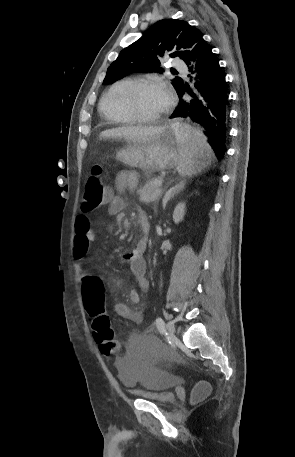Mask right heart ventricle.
<instances>
[{
  "label": "right heart ventricle",
  "mask_w": 295,
  "mask_h": 457,
  "mask_svg": "<svg viewBox=\"0 0 295 457\" xmlns=\"http://www.w3.org/2000/svg\"><path fill=\"white\" fill-rule=\"evenodd\" d=\"M135 80L125 78L116 81L104 92L99 102V111L103 117L114 124H132L136 121L124 110L120 95Z\"/></svg>",
  "instance_id": "obj_1"
}]
</instances>
